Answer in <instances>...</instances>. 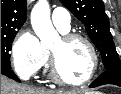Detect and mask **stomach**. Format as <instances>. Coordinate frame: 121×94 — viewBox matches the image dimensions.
I'll use <instances>...</instances> for the list:
<instances>
[{"instance_id": "stomach-1", "label": "stomach", "mask_w": 121, "mask_h": 94, "mask_svg": "<svg viewBox=\"0 0 121 94\" xmlns=\"http://www.w3.org/2000/svg\"><path fill=\"white\" fill-rule=\"evenodd\" d=\"M84 94H103L101 92H89V93H84Z\"/></svg>"}]
</instances>
